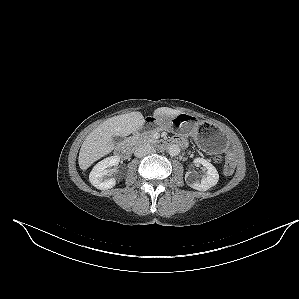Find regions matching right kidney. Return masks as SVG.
<instances>
[{
    "mask_svg": "<svg viewBox=\"0 0 299 299\" xmlns=\"http://www.w3.org/2000/svg\"><path fill=\"white\" fill-rule=\"evenodd\" d=\"M120 162L118 156L107 157L98 162L89 174L90 183L100 190L110 189L115 186L116 180L114 178H107L110 173L107 168L117 166Z\"/></svg>",
    "mask_w": 299,
    "mask_h": 299,
    "instance_id": "right-kidney-1",
    "label": "right kidney"
}]
</instances>
